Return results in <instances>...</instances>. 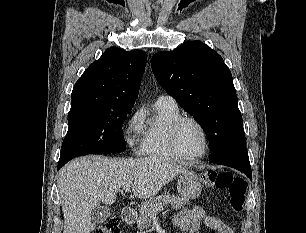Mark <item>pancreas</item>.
Wrapping results in <instances>:
<instances>
[{
  "label": "pancreas",
  "instance_id": "obj_1",
  "mask_svg": "<svg viewBox=\"0 0 306 233\" xmlns=\"http://www.w3.org/2000/svg\"><path fill=\"white\" fill-rule=\"evenodd\" d=\"M188 203V200L168 193L153 197L145 201L139 208V217L137 219V226L140 231L150 227L152 218L160 211V207L171 205L173 209H180ZM159 209L158 212L156 210ZM156 212V213H154Z\"/></svg>",
  "mask_w": 306,
  "mask_h": 233
}]
</instances>
